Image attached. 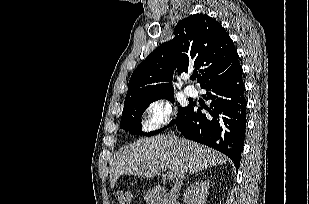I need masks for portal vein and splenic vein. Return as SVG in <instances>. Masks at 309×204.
Returning a JSON list of instances; mask_svg holds the SVG:
<instances>
[{
  "label": "portal vein and splenic vein",
  "instance_id": "1",
  "mask_svg": "<svg viewBox=\"0 0 309 204\" xmlns=\"http://www.w3.org/2000/svg\"><path fill=\"white\" fill-rule=\"evenodd\" d=\"M161 167L163 168L164 166L163 165H161ZM173 173L172 172H168L167 174H166V176H167V178L168 179H172L173 178Z\"/></svg>",
  "mask_w": 309,
  "mask_h": 204
}]
</instances>
